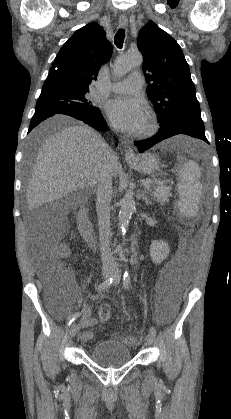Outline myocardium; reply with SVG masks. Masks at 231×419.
<instances>
[{
	"instance_id": "1",
	"label": "myocardium",
	"mask_w": 231,
	"mask_h": 419,
	"mask_svg": "<svg viewBox=\"0 0 231 419\" xmlns=\"http://www.w3.org/2000/svg\"><path fill=\"white\" fill-rule=\"evenodd\" d=\"M158 128L157 118L152 112L147 113L145 126L139 131L140 137H147L152 135Z\"/></svg>"
}]
</instances>
